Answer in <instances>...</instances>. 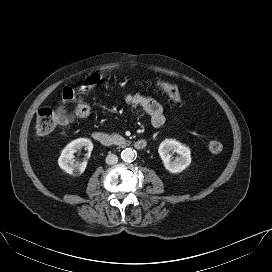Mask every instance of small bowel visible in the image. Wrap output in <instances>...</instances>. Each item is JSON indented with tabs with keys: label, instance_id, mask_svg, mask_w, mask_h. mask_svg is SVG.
<instances>
[{
	"label": "small bowel",
	"instance_id": "small-bowel-1",
	"mask_svg": "<svg viewBox=\"0 0 272 272\" xmlns=\"http://www.w3.org/2000/svg\"><path fill=\"white\" fill-rule=\"evenodd\" d=\"M124 100L127 104L141 107L149 115L154 128H160L164 125L163 108L156 100L137 93L127 94Z\"/></svg>",
	"mask_w": 272,
	"mask_h": 272
}]
</instances>
